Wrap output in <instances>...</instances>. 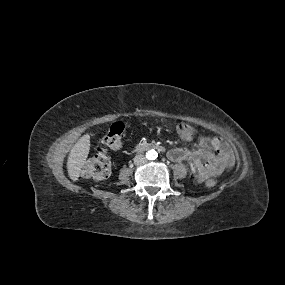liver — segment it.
Segmentation results:
<instances>
[{
	"mask_svg": "<svg viewBox=\"0 0 285 285\" xmlns=\"http://www.w3.org/2000/svg\"><path fill=\"white\" fill-rule=\"evenodd\" d=\"M90 150V135H83L72 147L67 161L68 175L77 181Z\"/></svg>",
	"mask_w": 285,
	"mask_h": 285,
	"instance_id": "liver-1",
	"label": "liver"
}]
</instances>
